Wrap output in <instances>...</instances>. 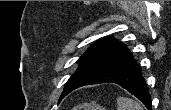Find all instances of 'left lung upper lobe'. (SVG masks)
Listing matches in <instances>:
<instances>
[{
	"label": "left lung upper lobe",
	"instance_id": "1",
	"mask_svg": "<svg viewBox=\"0 0 171 110\" xmlns=\"http://www.w3.org/2000/svg\"><path fill=\"white\" fill-rule=\"evenodd\" d=\"M130 57L132 54L126 46L112 37L95 42L77 61L79 67L66 82L60 100L76 87L95 79Z\"/></svg>",
	"mask_w": 171,
	"mask_h": 110
}]
</instances>
